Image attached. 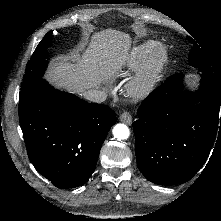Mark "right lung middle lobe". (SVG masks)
<instances>
[{
  "label": "right lung middle lobe",
  "mask_w": 221,
  "mask_h": 221,
  "mask_svg": "<svg viewBox=\"0 0 221 221\" xmlns=\"http://www.w3.org/2000/svg\"><path fill=\"white\" fill-rule=\"evenodd\" d=\"M53 31H49L42 41L38 44L33 55L27 63L25 75L21 83L20 96L27 92L33 85H35L43 76L47 67V47L51 43Z\"/></svg>",
  "instance_id": "1"
}]
</instances>
